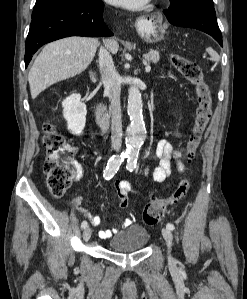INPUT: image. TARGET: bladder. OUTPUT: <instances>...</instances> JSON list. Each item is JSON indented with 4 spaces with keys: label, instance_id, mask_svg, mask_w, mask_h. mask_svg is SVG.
<instances>
[{
    "label": "bladder",
    "instance_id": "1",
    "mask_svg": "<svg viewBox=\"0 0 247 299\" xmlns=\"http://www.w3.org/2000/svg\"><path fill=\"white\" fill-rule=\"evenodd\" d=\"M149 240V234L141 225H130L116 233L108 241V247L115 252L128 253L144 248Z\"/></svg>",
    "mask_w": 247,
    "mask_h": 299
}]
</instances>
